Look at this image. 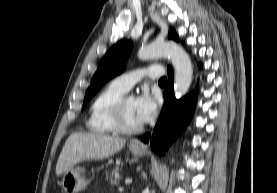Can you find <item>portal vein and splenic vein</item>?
<instances>
[{"label": "portal vein and splenic vein", "mask_w": 277, "mask_h": 193, "mask_svg": "<svg viewBox=\"0 0 277 193\" xmlns=\"http://www.w3.org/2000/svg\"><path fill=\"white\" fill-rule=\"evenodd\" d=\"M132 183V179L131 178H126L125 179V184H131Z\"/></svg>", "instance_id": "1"}]
</instances>
